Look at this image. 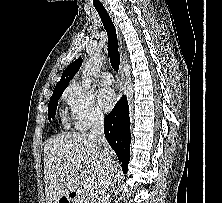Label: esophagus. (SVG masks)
<instances>
[{
    "instance_id": "esophagus-1",
    "label": "esophagus",
    "mask_w": 222,
    "mask_h": 203,
    "mask_svg": "<svg viewBox=\"0 0 222 203\" xmlns=\"http://www.w3.org/2000/svg\"><path fill=\"white\" fill-rule=\"evenodd\" d=\"M106 9H107L110 17L112 18V20L114 22V25L116 27V33H117V38H118V43H119V53H120V59H121L120 68H119V75H120V78L123 79V77H124V64L126 62V53H125V50H124L123 38H122L121 31L118 27V24L115 20L113 12L110 10V8L107 5H106Z\"/></svg>"
}]
</instances>
